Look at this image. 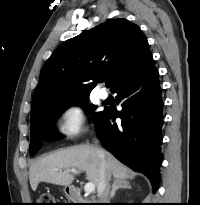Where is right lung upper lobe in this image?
I'll use <instances>...</instances> for the list:
<instances>
[{
    "instance_id": "1",
    "label": "right lung upper lobe",
    "mask_w": 200,
    "mask_h": 205,
    "mask_svg": "<svg viewBox=\"0 0 200 205\" xmlns=\"http://www.w3.org/2000/svg\"><path fill=\"white\" fill-rule=\"evenodd\" d=\"M152 59L146 36L136 24L123 18L68 39L41 70L30 120L48 102L89 96L104 75L113 91Z\"/></svg>"
}]
</instances>
